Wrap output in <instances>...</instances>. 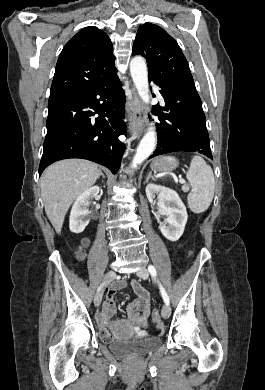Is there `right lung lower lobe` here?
Wrapping results in <instances>:
<instances>
[{
	"label": "right lung lower lobe",
	"mask_w": 265,
	"mask_h": 390,
	"mask_svg": "<svg viewBox=\"0 0 265 390\" xmlns=\"http://www.w3.org/2000/svg\"><path fill=\"white\" fill-rule=\"evenodd\" d=\"M125 94L117 69L79 89L49 97L39 175L55 161L83 158L116 174L125 149ZM94 110L92 112L91 110ZM95 113L99 116L92 118Z\"/></svg>",
	"instance_id": "1"
}]
</instances>
